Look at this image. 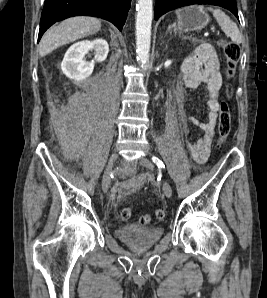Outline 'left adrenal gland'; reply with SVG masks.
<instances>
[{
  "mask_svg": "<svg viewBox=\"0 0 267 298\" xmlns=\"http://www.w3.org/2000/svg\"><path fill=\"white\" fill-rule=\"evenodd\" d=\"M192 41H197V39L196 38H193Z\"/></svg>",
  "mask_w": 267,
  "mask_h": 298,
  "instance_id": "obj_1",
  "label": "left adrenal gland"
}]
</instances>
